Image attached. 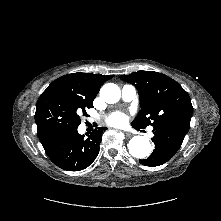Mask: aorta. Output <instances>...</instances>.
Returning <instances> with one entry per match:
<instances>
[{
	"instance_id": "obj_1",
	"label": "aorta",
	"mask_w": 221,
	"mask_h": 221,
	"mask_svg": "<svg viewBox=\"0 0 221 221\" xmlns=\"http://www.w3.org/2000/svg\"><path fill=\"white\" fill-rule=\"evenodd\" d=\"M100 97L109 104L119 101L121 97L120 88L114 83H107L100 89ZM129 153L138 159H144L151 153V145L149 139L144 136H134L128 143Z\"/></svg>"
}]
</instances>
